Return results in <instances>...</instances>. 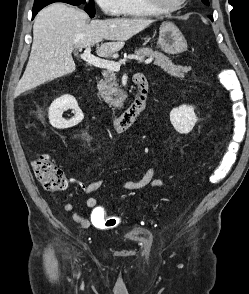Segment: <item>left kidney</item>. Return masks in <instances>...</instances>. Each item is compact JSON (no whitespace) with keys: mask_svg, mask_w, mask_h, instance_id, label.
Segmentation results:
<instances>
[{"mask_svg":"<svg viewBox=\"0 0 249 294\" xmlns=\"http://www.w3.org/2000/svg\"><path fill=\"white\" fill-rule=\"evenodd\" d=\"M197 120L194 108L189 105H181L170 112L171 124L180 134L190 133Z\"/></svg>","mask_w":249,"mask_h":294,"instance_id":"1","label":"left kidney"}]
</instances>
